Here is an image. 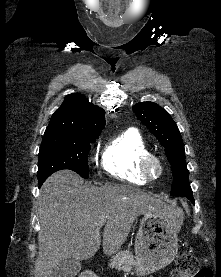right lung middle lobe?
<instances>
[{
	"instance_id": "1",
	"label": "right lung middle lobe",
	"mask_w": 221,
	"mask_h": 277,
	"mask_svg": "<svg viewBox=\"0 0 221 277\" xmlns=\"http://www.w3.org/2000/svg\"><path fill=\"white\" fill-rule=\"evenodd\" d=\"M100 133L101 131L45 132L39 151V183L44 182L52 173L62 169L73 170L81 177L88 178L90 143L95 142Z\"/></svg>"
}]
</instances>
